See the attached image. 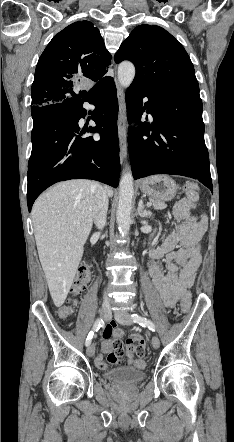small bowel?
<instances>
[{"label":"small bowel","instance_id":"small-bowel-1","mask_svg":"<svg viewBox=\"0 0 234 442\" xmlns=\"http://www.w3.org/2000/svg\"><path fill=\"white\" fill-rule=\"evenodd\" d=\"M198 207L197 196L187 195L177 202L173 214L179 222L178 229L167 236L161 245L150 246L149 249L148 273L156 291L169 309L183 299L186 290L193 285L201 263L199 248L207 228V217L203 213L199 216L194 214ZM178 244L181 245L180 248H177ZM161 259L164 260L167 273L163 270ZM123 334L122 328L108 321L104 331L102 351L123 350L121 342ZM140 340H143L142 336L135 334L126 341L125 354L130 365L137 363L134 359L135 355L140 359L145 357L147 344Z\"/></svg>","mask_w":234,"mask_h":442}]
</instances>
